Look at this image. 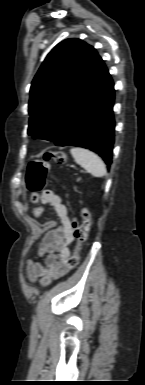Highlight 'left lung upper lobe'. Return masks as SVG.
Segmentation results:
<instances>
[{"label": "left lung upper lobe", "instance_id": "1", "mask_svg": "<svg viewBox=\"0 0 145 385\" xmlns=\"http://www.w3.org/2000/svg\"><path fill=\"white\" fill-rule=\"evenodd\" d=\"M99 55L79 39L57 44L33 79L28 134L52 140L65 116L83 92Z\"/></svg>", "mask_w": 145, "mask_h": 385}]
</instances>
